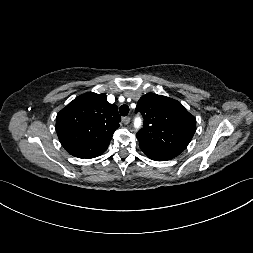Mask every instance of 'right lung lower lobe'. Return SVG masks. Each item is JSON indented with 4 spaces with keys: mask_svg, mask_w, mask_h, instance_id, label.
<instances>
[{
    "mask_svg": "<svg viewBox=\"0 0 253 253\" xmlns=\"http://www.w3.org/2000/svg\"><path fill=\"white\" fill-rule=\"evenodd\" d=\"M102 154V153H101ZM101 154H98V155H96V156H94V157H97V156H99V155H101ZM91 158H93V157H91Z\"/></svg>",
    "mask_w": 253,
    "mask_h": 253,
    "instance_id": "obj_1",
    "label": "right lung lower lobe"
}]
</instances>
